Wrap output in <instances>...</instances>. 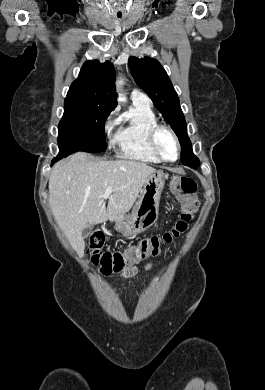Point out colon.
<instances>
[{"label": "colon", "mask_w": 265, "mask_h": 390, "mask_svg": "<svg viewBox=\"0 0 265 390\" xmlns=\"http://www.w3.org/2000/svg\"><path fill=\"white\" fill-rule=\"evenodd\" d=\"M171 190L186 201L181 207V214L176 224L167 232L144 238L136 245L122 251H104L105 236L102 231L95 230L89 239L87 252L93 265L98 266L101 273L110 275L121 273L139 262L160 253L164 245L170 244L188 229L197 210V185L187 176H174L170 180Z\"/></svg>", "instance_id": "obj_1"}]
</instances>
